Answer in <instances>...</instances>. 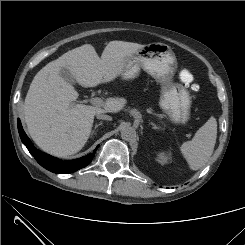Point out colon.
<instances>
[{
  "label": "colon",
  "mask_w": 245,
  "mask_h": 245,
  "mask_svg": "<svg viewBox=\"0 0 245 245\" xmlns=\"http://www.w3.org/2000/svg\"><path fill=\"white\" fill-rule=\"evenodd\" d=\"M187 84H189V83H187ZM189 89L191 92H196V91H198L199 87L196 84H189Z\"/></svg>",
  "instance_id": "5ec220e1"
}]
</instances>
